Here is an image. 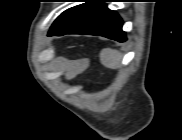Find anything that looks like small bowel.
Segmentation results:
<instances>
[{
    "instance_id": "c3829d8e",
    "label": "small bowel",
    "mask_w": 182,
    "mask_h": 140,
    "mask_svg": "<svg viewBox=\"0 0 182 140\" xmlns=\"http://www.w3.org/2000/svg\"><path fill=\"white\" fill-rule=\"evenodd\" d=\"M74 74L73 73H69L67 76L68 78H71Z\"/></svg>"
}]
</instances>
